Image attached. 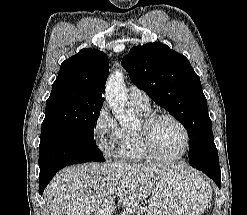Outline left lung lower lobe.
I'll return each mask as SVG.
<instances>
[{"instance_id": "obj_1", "label": "left lung lower lobe", "mask_w": 247, "mask_h": 215, "mask_svg": "<svg viewBox=\"0 0 247 215\" xmlns=\"http://www.w3.org/2000/svg\"><path fill=\"white\" fill-rule=\"evenodd\" d=\"M218 162V152L212 141L205 140L190 150V165L208 175L220 188L221 172Z\"/></svg>"}]
</instances>
